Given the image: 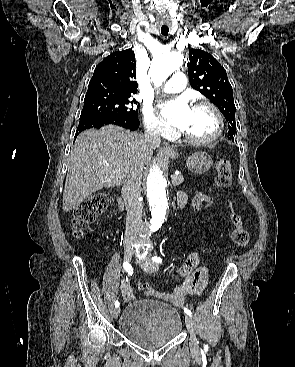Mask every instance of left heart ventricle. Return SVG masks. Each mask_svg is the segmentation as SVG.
Segmentation results:
<instances>
[{
  "label": "left heart ventricle",
  "mask_w": 295,
  "mask_h": 367,
  "mask_svg": "<svg viewBox=\"0 0 295 367\" xmlns=\"http://www.w3.org/2000/svg\"><path fill=\"white\" fill-rule=\"evenodd\" d=\"M217 121L212 111L206 107L191 108L183 132L196 139H205L214 134Z\"/></svg>",
  "instance_id": "obj_1"
}]
</instances>
